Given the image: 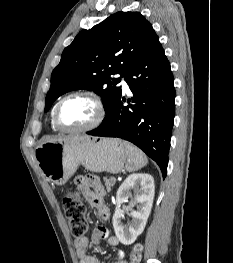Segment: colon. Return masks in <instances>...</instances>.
<instances>
[{"mask_svg": "<svg viewBox=\"0 0 233 263\" xmlns=\"http://www.w3.org/2000/svg\"><path fill=\"white\" fill-rule=\"evenodd\" d=\"M63 209L70 226L71 234L75 239L84 237L87 231L85 207L78 196L67 193L63 198ZM143 256V245L135 244L130 253V263H140Z\"/></svg>", "mask_w": 233, "mask_h": 263, "instance_id": "colon-1", "label": "colon"}]
</instances>
